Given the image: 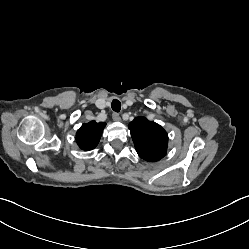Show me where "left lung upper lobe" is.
Instances as JSON below:
<instances>
[{"instance_id":"1","label":"left lung upper lobe","mask_w":249,"mask_h":249,"mask_svg":"<svg viewBox=\"0 0 249 249\" xmlns=\"http://www.w3.org/2000/svg\"><path fill=\"white\" fill-rule=\"evenodd\" d=\"M129 129L138 155L149 162H156L166 155L168 135L157 123L137 117Z\"/></svg>"}]
</instances>
